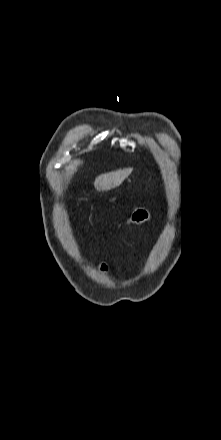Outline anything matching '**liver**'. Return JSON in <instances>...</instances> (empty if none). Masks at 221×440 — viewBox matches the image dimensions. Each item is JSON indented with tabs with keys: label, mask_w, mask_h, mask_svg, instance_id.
<instances>
[{
	"label": "liver",
	"mask_w": 221,
	"mask_h": 440,
	"mask_svg": "<svg viewBox=\"0 0 221 440\" xmlns=\"http://www.w3.org/2000/svg\"><path fill=\"white\" fill-rule=\"evenodd\" d=\"M131 172L132 168H127L99 175L94 181V187L97 191H108L118 187Z\"/></svg>",
	"instance_id": "1"
}]
</instances>
